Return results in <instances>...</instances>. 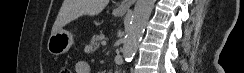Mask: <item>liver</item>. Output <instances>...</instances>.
I'll use <instances>...</instances> for the list:
<instances>
[{
	"label": "liver",
	"mask_w": 244,
	"mask_h": 73,
	"mask_svg": "<svg viewBox=\"0 0 244 73\" xmlns=\"http://www.w3.org/2000/svg\"><path fill=\"white\" fill-rule=\"evenodd\" d=\"M109 0H64L51 34L60 31L65 25L83 15H98L107 6Z\"/></svg>",
	"instance_id": "6515ba94"
}]
</instances>
